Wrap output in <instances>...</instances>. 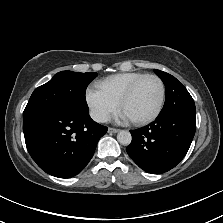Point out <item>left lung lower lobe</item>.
<instances>
[{
    "mask_svg": "<svg viewBox=\"0 0 223 223\" xmlns=\"http://www.w3.org/2000/svg\"><path fill=\"white\" fill-rule=\"evenodd\" d=\"M196 129L195 113L158 116L140 129L131 130L127 153L144 171L161 174L174 168L186 155Z\"/></svg>",
    "mask_w": 223,
    "mask_h": 223,
    "instance_id": "0a47b994",
    "label": "left lung lower lobe"
}]
</instances>
